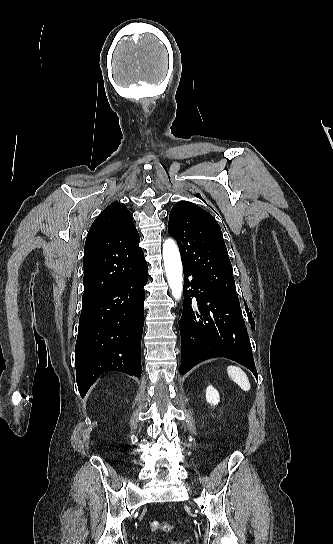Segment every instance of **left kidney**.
<instances>
[{
  "label": "left kidney",
  "instance_id": "obj_1",
  "mask_svg": "<svg viewBox=\"0 0 333 544\" xmlns=\"http://www.w3.org/2000/svg\"><path fill=\"white\" fill-rule=\"evenodd\" d=\"M206 401L213 406L217 405L220 401L218 391L211 385L206 389Z\"/></svg>",
  "mask_w": 333,
  "mask_h": 544
}]
</instances>
